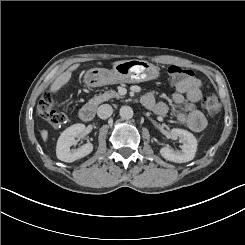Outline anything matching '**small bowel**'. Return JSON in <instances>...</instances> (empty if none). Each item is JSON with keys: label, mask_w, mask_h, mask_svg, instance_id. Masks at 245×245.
Returning a JSON list of instances; mask_svg holds the SVG:
<instances>
[{"label": "small bowel", "mask_w": 245, "mask_h": 245, "mask_svg": "<svg viewBox=\"0 0 245 245\" xmlns=\"http://www.w3.org/2000/svg\"><path fill=\"white\" fill-rule=\"evenodd\" d=\"M202 96L201 81L198 78L191 77L176 84V90L172 97L178 122L194 132L202 131L207 125L204 114L196 106ZM142 103L160 116L167 114L169 111V106L164 102H157L152 92H148L143 96Z\"/></svg>", "instance_id": "small-bowel-1"}]
</instances>
